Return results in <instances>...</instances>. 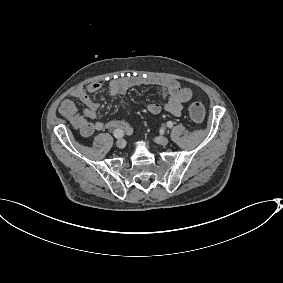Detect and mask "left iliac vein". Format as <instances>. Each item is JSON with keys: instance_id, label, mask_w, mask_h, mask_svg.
Masks as SVG:
<instances>
[{"instance_id": "left-iliac-vein-1", "label": "left iliac vein", "mask_w": 283, "mask_h": 283, "mask_svg": "<svg viewBox=\"0 0 283 283\" xmlns=\"http://www.w3.org/2000/svg\"><path fill=\"white\" fill-rule=\"evenodd\" d=\"M155 142L160 144V145L165 146V145L168 144L169 140H168V138H166L164 136H158V137L155 138Z\"/></svg>"}]
</instances>
